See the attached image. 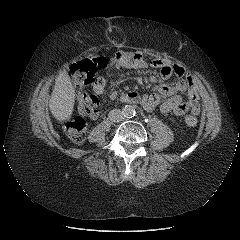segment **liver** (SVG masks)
<instances>
[{
  "label": "liver",
  "instance_id": "6515ba94",
  "mask_svg": "<svg viewBox=\"0 0 240 240\" xmlns=\"http://www.w3.org/2000/svg\"><path fill=\"white\" fill-rule=\"evenodd\" d=\"M75 89L66 71L55 79V86L49 100L52 115L58 121L69 119L73 114Z\"/></svg>",
  "mask_w": 240,
  "mask_h": 240
}]
</instances>
